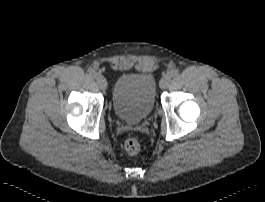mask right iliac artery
Returning <instances> with one entry per match:
<instances>
[{
    "label": "right iliac artery",
    "instance_id": "1",
    "mask_svg": "<svg viewBox=\"0 0 265 202\" xmlns=\"http://www.w3.org/2000/svg\"><path fill=\"white\" fill-rule=\"evenodd\" d=\"M96 72L95 71H93V70H89L88 71V77H90V78H95L96 77Z\"/></svg>",
    "mask_w": 265,
    "mask_h": 202
}]
</instances>
